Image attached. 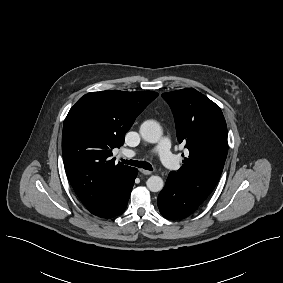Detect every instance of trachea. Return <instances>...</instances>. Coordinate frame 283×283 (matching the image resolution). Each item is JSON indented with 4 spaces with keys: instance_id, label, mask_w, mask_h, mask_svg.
Segmentation results:
<instances>
[{
    "instance_id": "3493384b",
    "label": "trachea",
    "mask_w": 283,
    "mask_h": 283,
    "mask_svg": "<svg viewBox=\"0 0 283 283\" xmlns=\"http://www.w3.org/2000/svg\"><path fill=\"white\" fill-rule=\"evenodd\" d=\"M121 161L127 165L144 168L146 170H153L152 166L146 161L124 160V159H121Z\"/></svg>"
}]
</instances>
